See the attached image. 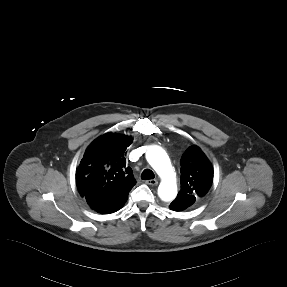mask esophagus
Here are the masks:
<instances>
[{
    "label": "esophagus",
    "mask_w": 287,
    "mask_h": 287,
    "mask_svg": "<svg viewBox=\"0 0 287 287\" xmlns=\"http://www.w3.org/2000/svg\"><path fill=\"white\" fill-rule=\"evenodd\" d=\"M145 183L148 185L156 186L158 184V181L156 179H151V180L145 181Z\"/></svg>",
    "instance_id": "1"
}]
</instances>
